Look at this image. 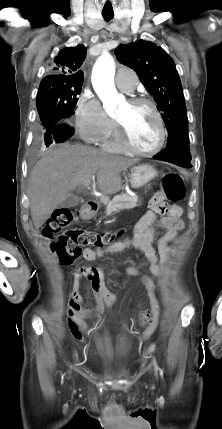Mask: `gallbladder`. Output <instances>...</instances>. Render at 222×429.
<instances>
[{
	"label": "gallbladder",
	"mask_w": 222,
	"mask_h": 429,
	"mask_svg": "<svg viewBox=\"0 0 222 429\" xmlns=\"http://www.w3.org/2000/svg\"><path fill=\"white\" fill-rule=\"evenodd\" d=\"M79 199L72 194H68L65 200L60 204L61 208H71L77 206Z\"/></svg>",
	"instance_id": "obj_1"
}]
</instances>
